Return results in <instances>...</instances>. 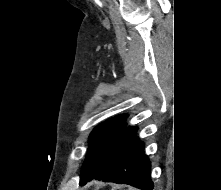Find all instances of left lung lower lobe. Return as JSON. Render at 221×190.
Returning a JSON list of instances; mask_svg holds the SVG:
<instances>
[{"mask_svg":"<svg viewBox=\"0 0 221 190\" xmlns=\"http://www.w3.org/2000/svg\"><path fill=\"white\" fill-rule=\"evenodd\" d=\"M136 133L137 127H125L102 153L90 173L80 178V185L98 179L152 190L150 161L145 155L144 143Z\"/></svg>","mask_w":221,"mask_h":190,"instance_id":"obj_1","label":"left lung lower lobe"}]
</instances>
